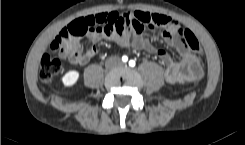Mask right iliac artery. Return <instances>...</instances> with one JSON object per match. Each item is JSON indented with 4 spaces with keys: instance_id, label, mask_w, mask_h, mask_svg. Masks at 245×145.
<instances>
[{
    "instance_id": "obj_1",
    "label": "right iliac artery",
    "mask_w": 245,
    "mask_h": 145,
    "mask_svg": "<svg viewBox=\"0 0 245 145\" xmlns=\"http://www.w3.org/2000/svg\"><path fill=\"white\" fill-rule=\"evenodd\" d=\"M127 60H128V57H127V56H123V57H122V61H123V62H126Z\"/></svg>"
}]
</instances>
